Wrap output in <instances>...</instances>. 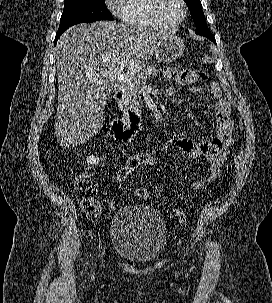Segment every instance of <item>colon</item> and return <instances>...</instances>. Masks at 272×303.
<instances>
[{
	"mask_svg": "<svg viewBox=\"0 0 272 303\" xmlns=\"http://www.w3.org/2000/svg\"><path fill=\"white\" fill-rule=\"evenodd\" d=\"M202 62L209 65L213 62L211 55H204ZM243 161V154L241 150H238L233 165L238 168ZM159 165V160L156 155L151 152L144 151L139 152L129 157L126 162L121 165L116 173V184L120 186L129 176L135 171L144 169H154ZM91 169L85 168L75 178L74 191L75 196L80 204L81 208L85 212L88 218L94 219L102 212V205L99 200L96 199V190L91 183ZM135 194L139 199L145 200L149 197V191L145 187H138L135 190ZM171 216L176 218L181 223H187L189 216L187 213L173 209Z\"/></svg>",
	"mask_w": 272,
	"mask_h": 303,
	"instance_id": "1",
	"label": "colon"
}]
</instances>
